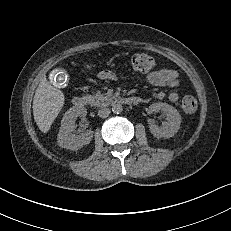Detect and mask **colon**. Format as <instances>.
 I'll return each mask as SVG.
<instances>
[{
  "instance_id": "colon-1",
  "label": "colon",
  "mask_w": 231,
  "mask_h": 231,
  "mask_svg": "<svg viewBox=\"0 0 231 231\" xmlns=\"http://www.w3.org/2000/svg\"><path fill=\"white\" fill-rule=\"evenodd\" d=\"M131 65L134 71L147 73L153 71L157 64L152 56L145 53H136L131 57ZM182 108L186 113L195 112L197 100L193 96H185L182 100Z\"/></svg>"
}]
</instances>
